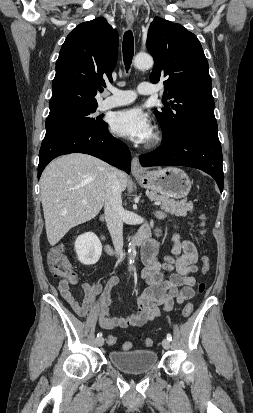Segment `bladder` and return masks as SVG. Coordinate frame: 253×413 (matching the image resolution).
Returning <instances> with one entry per match:
<instances>
[{"label": "bladder", "mask_w": 253, "mask_h": 413, "mask_svg": "<svg viewBox=\"0 0 253 413\" xmlns=\"http://www.w3.org/2000/svg\"><path fill=\"white\" fill-rule=\"evenodd\" d=\"M157 359V353L151 349L114 350L109 353L110 363L129 374H142L151 371L156 366Z\"/></svg>", "instance_id": "obj_1"}]
</instances>
